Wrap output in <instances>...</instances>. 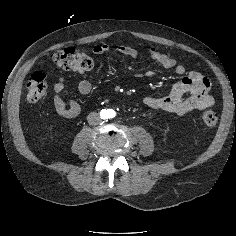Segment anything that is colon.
I'll use <instances>...</instances> for the list:
<instances>
[{
    "instance_id": "obj_1",
    "label": "colon",
    "mask_w": 236,
    "mask_h": 236,
    "mask_svg": "<svg viewBox=\"0 0 236 236\" xmlns=\"http://www.w3.org/2000/svg\"><path fill=\"white\" fill-rule=\"evenodd\" d=\"M52 60L62 69L78 73L91 70L92 59L85 53L72 47L56 50L51 55ZM48 83L41 72L33 73L26 82L27 99L36 102L46 96ZM202 120L207 126H214L218 121V114L213 110H206L202 114Z\"/></svg>"
}]
</instances>
